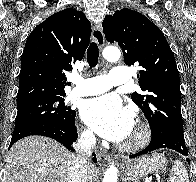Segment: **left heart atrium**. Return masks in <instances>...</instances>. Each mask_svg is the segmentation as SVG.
I'll return each mask as SVG.
<instances>
[{"instance_id":"39dd6f15","label":"left heart atrium","mask_w":196,"mask_h":182,"mask_svg":"<svg viewBox=\"0 0 196 182\" xmlns=\"http://www.w3.org/2000/svg\"><path fill=\"white\" fill-rule=\"evenodd\" d=\"M81 118L98 135L114 142L127 139L134 128L132 110L111 93L86 100L81 108Z\"/></svg>"}]
</instances>
